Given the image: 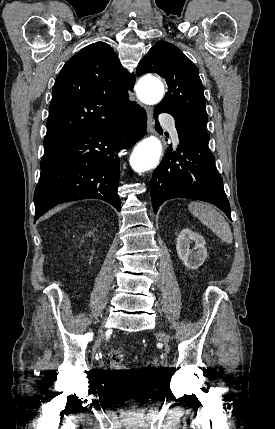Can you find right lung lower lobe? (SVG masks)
Here are the masks:
<instances>
[{
    "instance_id": "right-lung-lower-lobe-1",
    "label": "right lung lower lobe",
    "mask_w": 275,
    "mask_h": 429,
    "mask_svg": "<svg viewBox=\"0 0 275 429\" xmlns=\"http://www.w3.org/2000/svg\"><path fill=\"white\" fill-rule=\"evenodd\" d=\"M146 127V112L135 103L112 124L45 146L34 193L35 221L60 203L88 198L106 201L119 211L117 151L133 146Z\"/></svg>"
}]
</instances>
